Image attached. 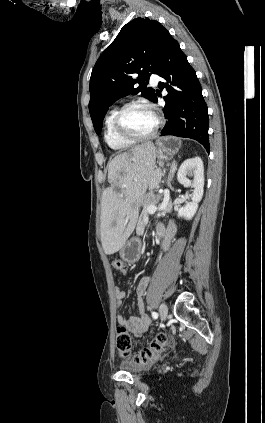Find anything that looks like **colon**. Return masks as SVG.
Returning a JSON list of instances; mask_svg holds the SVG:
<instances>
[{
    "mask_svg": "<svg viewBox=\"0 0 265 423\" xmlns=\"http://www.w3.org/2000/svg\"><path fill=\"white\" fill-rule=\"evenodd\" d=\"M111 265L117 272L124 268V262L121 259H114ZM167 344L168 336L161 333L156 335L147 347L132 355V341L127 329L124 326L117 329L116 346L119 353L124 357H131L130 362L136 366H143L154 360Z\"/></svg>",
    "mask_w": 265,
    "mask_h": 423,
    "instance_id": "5ec220e1",
    "label": "colon"
}]
</instances>
